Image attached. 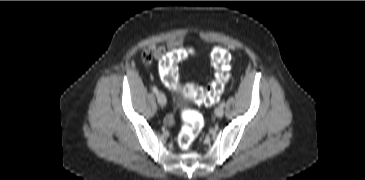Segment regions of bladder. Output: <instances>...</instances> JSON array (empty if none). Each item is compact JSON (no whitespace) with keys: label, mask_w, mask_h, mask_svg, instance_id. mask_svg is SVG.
I'll use <instances>...</instances> for the list:
<instances>
[{"label":"bladder","mask_w":365,"mask_h":180,"mask_svg":"<svg viewBox=\"0 0 365 180\" xmlns=\"http://www.w3.org/2000/svg\"><path fill=\"white\" fill-rule=\"evenodd\" d=\"M194 101L191 96L187 95L182 89H178L173 95V107L178 112H184L192 109Z\"/></svg>","instance_id":"obj_1"}]
</instances>
